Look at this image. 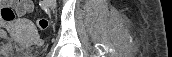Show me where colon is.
<instances>
[{"label": "colon", "mask_w": 172, "mask_h": 57, "mask_svg": "<svg viewBox=\"0 0 172 57\" xmlns=\"http://www.w3.org/2000/svg\"><path fill=\"white\" fill-rule=\"evenodd\" d=\"M0 18L5 23H11L15 19V11L8 6L1 7ZM36 25L40 30H45L48 27V21L45 18H39Z\"/></svg>", "instance_id": "colon-1"}]
</instances>
